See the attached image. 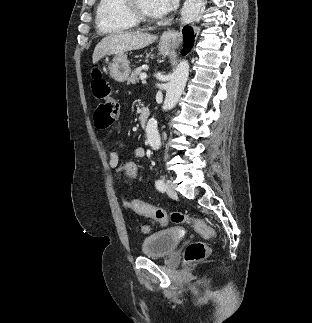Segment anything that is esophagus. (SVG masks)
Returning <instances> with one entry per match:
<instances>
[{
    "label": "esophagus",
    "mask_w": 312,
    "mask_h": 323,
    "mask_svg": "<svg viewBox=\"0 0 312 323\" xmlns=\"http://www.w3.org/2000/svg\"><path fill=\"white\" fill-rule=\"evenodd\" d=\"M162 40L173 48H177L182 41L181 31L167 30L162 34Z\"/></svg>",
    "instance_id": "esophagus-1"
}]
</instances>
